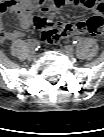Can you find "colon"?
<instances>
[{
  "label": "colon",
  "instance_id": "1",
  "mask_svg": "<svg viewBox=\"0 0 104 137\" xmlns=\"http://www.w3.org/2000/svg\"><path fill=\"white\" fill-rule=\"evenodd\" d=\"M37 28L41 29L42 41L49 44H57L64 36H70L75 33L68 26L46 25L43 20L37 22ZM84 31L94 36L101 35L103 33L102 18L100 16L92 17L88 27L85 28Z\"/></svg>",
  "mask_w": 104,
  "mask_h": 137
}]
</instances>
